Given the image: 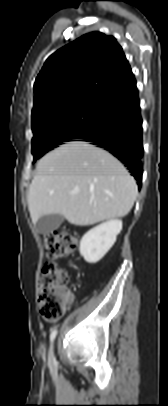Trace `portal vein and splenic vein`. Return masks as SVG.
<instances>
[{
  "label": "portal vein and splenic vein",
  "instance_id": "18ae733b",
  "mask_svg": "<svg viewBox=\"0 0 168 406\" xmlns=\"http://www.w3.org/2000/svg\"><path fill=\"white\" fill-rule=\"evenodd\" d=\"M78 192H79V190H78V189L73 191V193H74V194H76V193H78Z\"/></svg>",
  "mask_w": 168,
  "mask_h": 406
}]
</instances>
